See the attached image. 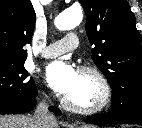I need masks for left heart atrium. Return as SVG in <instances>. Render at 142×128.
Returning a JSON list of instances; mask_svg holds the SVG:
<instances>
[{
  "mask_svg": "<svg viewBox=\"0 0 142 128\" xmlns=\"http://www.w3.org/2000/svg\"><path fill=\"white\" fill-rule=\"evenodd\" d=\"M45 79L55 92L68 97L78 87L80 72L67 62L55 61L47 66Z\"/></svg>",
  "mask_w": 142,
  "mask_h": 128,
  "instance_id": "1",
  "label": "left heart atrium"
}]
</instances>
